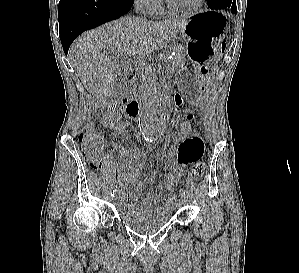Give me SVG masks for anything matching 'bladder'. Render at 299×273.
Instances as JSON below:
<instances>
[{"instance_id":"31cf9c89","label":"bladder","mask_w":299,"mask_h":273,"mask_svg":"<svg viewBox=\"0 0 299 273\" xmlns=\"http://www.w3.org/2000/svg\"><path fill=\"white\" fill-rule=\"evenodd\" d=\"M173 209L174 204L169 210H156L151 215L146 217L119 211L118 219L122 224L130 229L137 232L146 233L157 230L158 228L168 224L173 217Z\"/></svg>"}]
</instances>
